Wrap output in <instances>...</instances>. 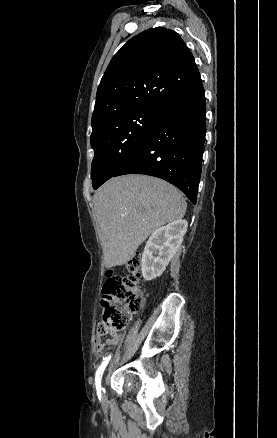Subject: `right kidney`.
Segmentation results:
<instances>
[{"instance_id": "1", "label": "right kidney", "mask_w": 277, "mask_h": 438, "mask_svg": "<svg viewBox=\"0 0 277 438\" xmlns=\"http://www.w3.org/2000/svg\"><path fill=\"white\" fill-rule=\"evenodd\" d=\"M188 228L187 220H175L167 226L154 230L141 258V272L144 280L150 282L163 274L171 258L183 242Z\"/></svg>"}]
</instances>
